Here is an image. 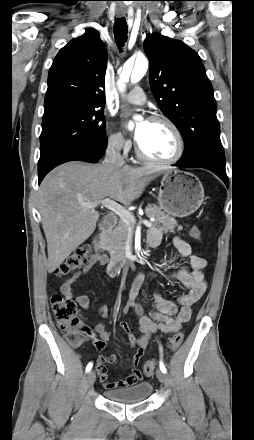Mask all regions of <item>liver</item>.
<instances>
[{
    "mask_svg": "<svg viewBox=\"0 0 254 440\" xmlns=\"http://www.w3.org/2000/svg\"><path fill=\"white\" fill-rule=\"evenodd\" d=\"M148 167L69 162L56 167L39 187V212L47 240L48 272L63 261L96 228L99 212L84 203L111 198L125 205L139 198L156 176Z\"/></svg>",
    "mask_w": 254,
    "mask_h": 440,
    "instance_id": "6515ba94",
    "label": "liver"
}]
</instances>
